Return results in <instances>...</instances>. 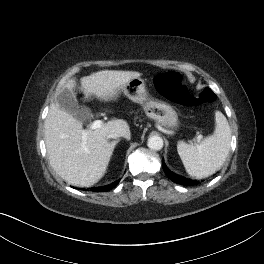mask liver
I'll list each match as a JSON object with an SVG mask.
<instances>
[{"label":"liver","mask_w":264,"mask_h":264,"mask_svg":"<svg viewBox=\"0 0 264 264\" xmlns=\"http://www.w3.org/2000/svg\"><path fill=\"white\" fill-rule=\"evenodd\" d=\"M135 71L103 70L81 78L85 96L111 98L131 79L140 77ZM74 79L65 84L73 90ZM110 132H122L130 138L129 125L123 119H114L95 130H84L81 121L52 103L44 123L47 154L54 171L68 184L89 187L106 173L112 149L107 141Z\"/></svg>","instance_id":"1"}]
</instances>
